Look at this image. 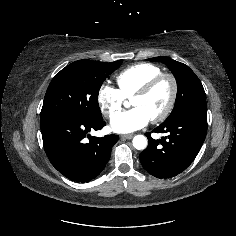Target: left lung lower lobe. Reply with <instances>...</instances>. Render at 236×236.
Returning a JSON list of instances; mask_svg holds the SVG:
<instances>
[{
    "mask_svg": "<svg viewBox=\"0 0 236 236\" xmlns=\"http://www.w3.org/2000/svg\"><path fill=\"white\" fill-rule=\"evenodd\" d=\"M167 133L161 140L148 138V147L140 153L143 167L157 178H171L185 170L198 154L207 133V108L191 109L153 130Z\"/></svg>",
    "mask_w": 236,
    "mask_h": 236,
    "instance_id": "0a47b994",
    "label": "left lung lower lobe"
}]
</instances>
